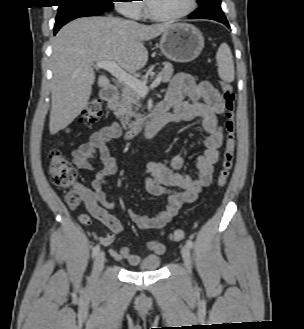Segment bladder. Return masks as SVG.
<instances>
[{
	"instance_id": "bladder-1",
	"label": "bladder",
	"mask_w": 304,
	"mask_h": 329,
	"mask_svg": "<svg viewBox=\"0 0 304 329\" xmlns=\"http://www.w3.org/2000/svg\"><path fill=\"white\" fill-rule=\"evenodd\" d=\"M162 258L156 254L141 259L136 264V271H158L162 266Z\"/></svg>"
}]
</instances>
